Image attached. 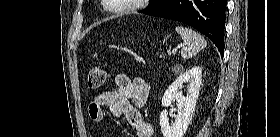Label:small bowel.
<instances>
[{
  "mask_svg": "<svg viewBox=\"0 0 280 137\" xmlns=\"http://www.w3.org/2000/svg\"><path fill=\"white\" fill-rule=\"evenodd\" d=\"M116 88H106L93 94L88 113L95 123L103 119V107L108 106L112 116L124 117L135 128L137 137H151L152 126L143 118L140 107L150 93L149 84L141 77L130 78L125 73L114 77Z\"/></svg>",
  "mask_w": 280,
  "mask_h": 137,
  "instance_id": "1",
  "label": "small bowel"
}]
</instances>
